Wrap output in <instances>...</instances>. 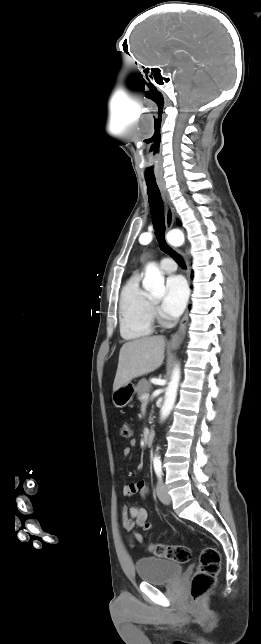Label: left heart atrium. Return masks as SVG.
Listing matches in <instances>:
<instances>
[{
	"label": "left heart atrium",
	"instance_id": "obj_1",
	"mask_svg": "<svg viewBox=\"0 0 261 644\" xmlns=\"http://www.w3.org/2000/svg\"><path fill=\"white\" fill-rule=\"evenodd\" d=\"M188 298L186 282L181 276H170L166 281V293L162 311L168 317H178L184 310Z\"/></svg>",
	"mask_w": 261,
	"mask_h": 644
}]
</instances>
